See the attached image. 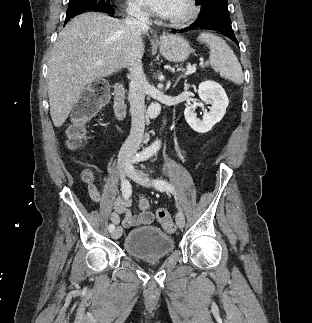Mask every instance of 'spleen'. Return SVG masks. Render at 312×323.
Instances as JSON below:
<instances>
[{
  "mask_svg": "<svg viewBox=\"0 0 312 323\" xmlns=\"http://www.w3.org/2000/svg\"><path fill=\"white\" fill-rule=\"evenodd\" d=\"M199 42H204L210 52L209 64L215 70H219L221 78H227L234 84H243L244 76L242 68L231 48L227 46L225 40L211 34V32H201L198 36Z\"/></svg>",
  "mask_w": 312,
  "mask_h": 323,
  "instance_id": "obj_1",
  "label": "spleen"
}]
</instances>
